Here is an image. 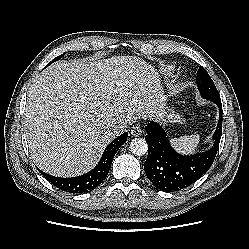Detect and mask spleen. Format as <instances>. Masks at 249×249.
<instances>
[{"label": "spleen", "instance_id": "spleen-1", "mask_svg": "<svg viewBox=\"0 0 249 249\" xmlns=\"http://www.w3.org/2000/svg\"><path fill=\"white\" fill-rule=\"evenodd\" d=\"M200 137L198 135L183 136L171 140L172 145L181 153L188 154L195 151L199 144Z\"/></svg>", "mask_w": 249, "mask_h": 249}]
</instances>
